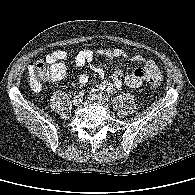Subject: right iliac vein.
Segmentation results:
<instances>
[{"label":"right iliac vein","instance_id":"63e3f726","mask_svg":"<svg viewBox=\"0 0 195 195\" xmlns=\"http://www.w3.org/2000/svg\"><path fill=\"white\" fill-rule=\"evenodd\" d=\"M82 102V98L80 96H75L73 99V104L78 106Z\"/></svg>","mask_w":195,"mask_h":195}]
</instances>
